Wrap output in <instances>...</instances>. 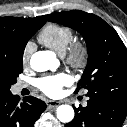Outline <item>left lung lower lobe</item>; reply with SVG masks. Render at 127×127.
I'll use <instances>...</instances> for the list:
<instances>
[{
    "label": "left lung lower lobe",
    "mask_w": 127,
    "mask_h": 127,
    "mask_svg": "<svg viewBox=\"0 0 127 127\" xmlns=\"http://www.w3.org/2000/svg\"><path fill=\"white\" fill-rule=\"evenodd\" d=\"M87 96V106L74 108L75 117L66 127L122 126L127 115V91L100 89Z\"/></svg>",
    "instance_id": "0a47b994"
}]
</instances>
